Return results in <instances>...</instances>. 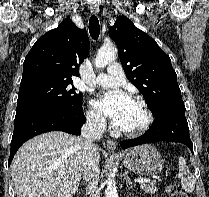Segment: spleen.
I'll list each match as a JSON object with an SVG mask.
<instances>
[{"label": "spleen", "mask_w": 209, "mask_h": 197, "mask_svg": "<svg viewBox=\"0 0 209 197\" xmlns=\"http://www.w3.org/2000/svg\"><path fill=\"white\" fill-rule=\"evenodd\" d=\"M178 178L180 179L182 189L188 193H191L195 189V180L189 167L186 164L184 157H179V173Z\"/></svg>", "instance_id": "3e777b00"}]
</instances>
